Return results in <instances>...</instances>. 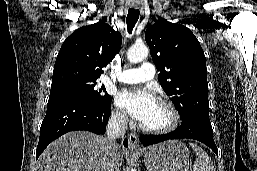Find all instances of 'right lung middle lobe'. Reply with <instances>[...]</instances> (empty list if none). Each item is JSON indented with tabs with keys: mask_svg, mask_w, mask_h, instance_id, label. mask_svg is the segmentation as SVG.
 <instances>
[{
	"mask_svg": "<svg viewBox=\"0 0 257 171\" xmlns=\"http://www.w3.org/2000/svg\"><path fill=\"white\" fill-rule=\"evenodd\" d=\"M96 84V82L70 83L63 87L51 89L49 99L61 97H80L92 101L98 105L108 104L111 101V96L107 94L104 87L96 90ZM103 92H105V94Z\"/></svg>",
	"mask_w": 257,
	"mask_h": 171,
	"instance_id": "dd1d6c3e",
	"label": "right lung middle lobe"
}]
</instances>
